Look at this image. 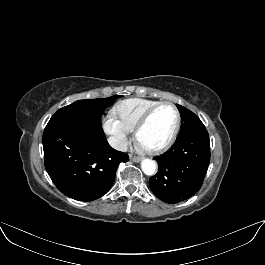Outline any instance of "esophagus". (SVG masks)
<instances>
[{"label": "esophagus", "instance_id": "esophagus-1", "mask_svg": "<svg viewBox=\"0 0 265 265\" xmlns=\"http://www.w3.org/2000/svg\"><path fill=\"white\" fill-rule=\"evenodd\" d=\"M130 160L132 162H139L141 160V157L139 156H134V155H130Z\"/></svg>", "mask_w": 265, "mask_h": 265}]
</instances>
